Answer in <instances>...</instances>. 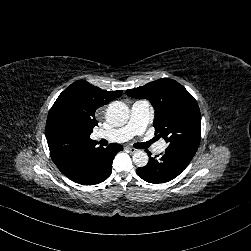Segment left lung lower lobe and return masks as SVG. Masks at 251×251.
<instances>
[{"label":"left lung lower lobe","mask_w":251,"mask_h":251,"mask_svg":"<svg viewBox=\"0 0 251 251\" xmlns=\"http://www.w3.org/2000/svg\"><path fill=\"white\" fill-rule=\"evenodd\" d=\"M148 155V164L137 168V175L149 183L158 184L169 182L181 174L195 153L181 148L168 147L161 156L153 158L150 152H148Z\"/></svg>","instance_id":"obj_1"}]
</instances>
